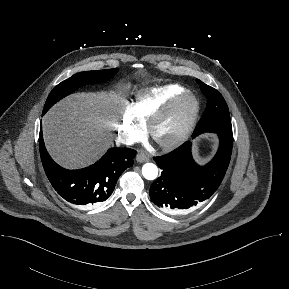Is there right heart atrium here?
Returning a JSON list of instances; mask_svg holds the SVG:
<instances>
[{
  "label": "right heart atrium",
  "mask_w": 289,
  "mask_h": 289,
  "mask_svg": "<svg viewBox=\"0 0 289 289\" xmlns=\"http://www.w3.org/2000/svg\"><path fill=\"white\" fill-rule=\"evenodd\" d=\"M144 130L143 123L135 116L132 105L125 103L122 111L118 132L121 139L126 143L138 140Z\"/></svg>",
  "instance_id": "d8ad5b80"
}]
</instances>
